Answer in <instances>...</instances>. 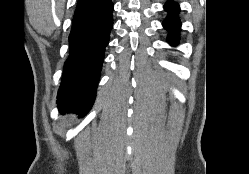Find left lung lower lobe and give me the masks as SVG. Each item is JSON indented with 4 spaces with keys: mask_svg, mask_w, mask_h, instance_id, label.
Here are the masks:
<instances>
[{
    "mask_svg": "<svg viewBox=\"0 0 249 174\" xmlns=\"http://www.w3.org/2000/svg\"><path fill=\"white\" fill-rule=\"evenodd\" d=\"M164 8L169 12V15L164 20L163 27L169 31V41L172 45H175L179 41V31L181 27V22L177 15V12L180 11L179 5L173 1H168Z\"/></svg>",
    "mask_w": 249,
    "mask_h": 174,
    "instance_id": "0a47b994",
    "label": "left lung lower lobe"
}]
</instances>
